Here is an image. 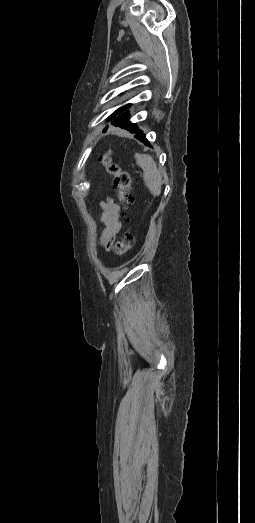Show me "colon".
<instances>
[{
  "label": "colon",
  "mask_w": 255,
  "mask_h": 523,
  "mask_svg": "<svg viewBox=\"0 0 255 523\" xmlns=\"http://www.w3.org/2000/svg\"><path fill=\"white\" fill-rule=\"evenodd\" d=\"M106 171L114 178L115 196L126 209L132 202V180L130 174L120 168L112 161L111 152L103 154L100 158ZM134 237L130 229H126L114 245V253L117 255L126 254L133 245Z\"/></svg>",
  "instance_id": "1"
}]
</instances>
